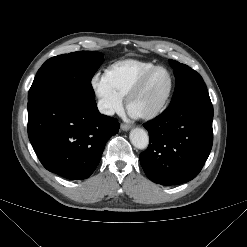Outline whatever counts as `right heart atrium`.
I'll use <instances>...</instances> for the list:
<instances>
[{"mask_svg": "<svg viewBox=\"0 0 247 247\" xmlns=\"http://www.w3.org/2000/svg\"><path fill=\"white\" fill-rule=\"evenodd\" d=\"M91 85L99 101V107L103 114L112 116L121 111L123 97L113 88L106 73L95 74Z\"/></svg>", "mask_w": 247, "mask_h": 247, "instance_id": "obj_1", "label": "right heart atrium"}]
</instances>
